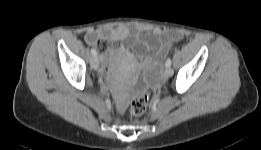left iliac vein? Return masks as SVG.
<instances>
[{
  "label": "left iliac vein",
  "instance_id": "1",
  "mask_svg": "<svg viewBox=\"0 0 261 150\" xmlns=\"http://www.w3.org/2000/svg\"><path fill=\"white\" fill-rule=\"evenodd\" d=\"M164 73H165V76H167V77H171V76L173 75L174 71H173L172 68H170V67H166Z\"/></svg>",
  "mask_w": 261,
  "mask_h": 150
}]
</instances>
